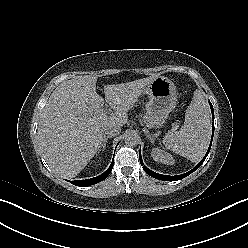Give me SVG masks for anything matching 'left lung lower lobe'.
<instances>
[{
	"instance_id": "1",
	"label": "left lung lower lobe",
	"mask_w": 248,
	"mask_h": 248,
	"mask_svg": "<svg viewBox=\"0 0 248 248\" xmlns=\"http://www.w3.org/2000/svg\"><path fill=\"white\" fill-rule=\"evenodd\" d=\"M209 104H210V108H211V111H212V116L214 118V113H213V106L212 104L210 103L209 101ZM213 132H214V127H213ZM213 134L212 133V139H213ZM212 139H211V143H210V146H209V149L205 155V157L192 169L190 170L189 172L185 173V174H181V175H177V176H167V175H162V174H158V173H155L153 171H151L150 169H148L146 166H144L143 164V161H142V158H141V148H140V152H139V159H140V163L141 165L143 166V169L144 171L150 175L151 177L153 178H156V179H159V180H164V181H176V180H181L183 178H185L186 176L190 175L192 172H194L203 162L204 160L206 159L209 151H210V148H211V144H212Z\"/></svg>"
}]
</instances>
